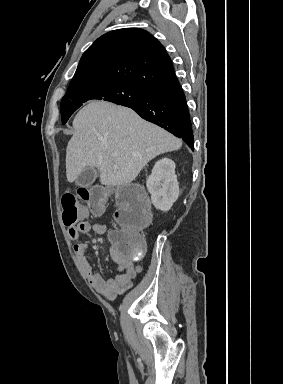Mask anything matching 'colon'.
Returning a JSON list of instances; mask_svg holds the SVG:
<instances>
[{
    "mask_svg": "<svg viewBox=\"0 0 283 384\" xmlns=\"http://www.w3.org/2000/svg\"><path fill=\"white\" fill-rule=\"evenodd\" d=\"M112 193L116 204L115 228L110 234L112 245L122 258L139 260L146 248L141 230L148 225L150 213L143 192L137 186L124 185L113 192L101 186L82 187L76 192L65 193L62 196L64 223L73 227L88 213H103Z\"/></svg>",
    "mask_w": 283,
    "mask_h": 384,
    "instance_id": "colon-1",
    "label": "colon"
}]
</instances>
